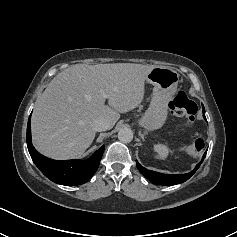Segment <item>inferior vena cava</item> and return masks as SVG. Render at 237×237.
Listing matches in <instances>:
<instances>
[{
    "instance_id": "1",
    "label": "inferior vena cava",
    "mask_w": 237,
    "mask_h": 237,
    "mask_svg": "<svg viewBox=\"0 0 237 237\" xmlns=\"http://www.w3.org/2000/svg\"><path fill=\"white\" fill-rule=\"evenodd\" d=\"M93 128L95 131L101 132L106 131L110 128V123L105 118H98L93 122Z\"/></svg>"
}]
</instances>
